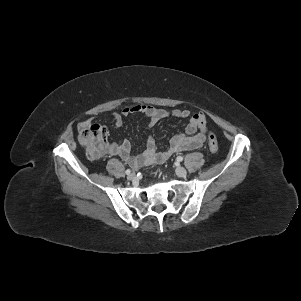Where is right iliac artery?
Here are the masks:
<instances>
[{"mask_svg": "<svg viewBox=\"0 0 301 301\" xmlns=\"http://www.w3.org/2000/svg\"><path fill=\"white\" fill-rule=\"evenodd\" d=\"M125 173H126L127 175H129V174L131 173V170H130V169H127V170L125 171Z\"/></svg>", "mask_w": 301, "mask_h": 301, "instance_id": "82829eb1", "label": "right iliac artery"}]
</instances>
